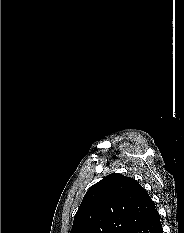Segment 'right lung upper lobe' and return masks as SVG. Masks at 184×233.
I'll return each instance as SVG.
<instances>
[{
	"label": "right lung upper lobe",
	"instance_id": "1",
	"mask_svg": "<svg viewBox=\"0 0 184 233\" xmlns=\"http://www.w3.org/2000/svg\"><path fill=\"white\" fill-rule=\"evenodd\" d=\"M155 209L136 180L113 173L87 191L70 233H129Z\"/></svg>",
	"mask_w": 184,
	"mask_h": 233
}]
</instances>
